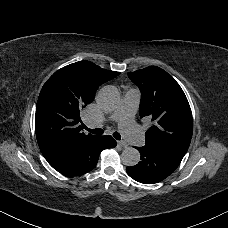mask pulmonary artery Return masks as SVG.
<instances>
[{
    "instance_id": "obj_1",
    "label": "pulmonary artery",
    "mask_w": 228,
    "mask_h": 228,
    "mask_svg": "<svg viewBox=\"0 0 228 228\" xmlns=\"http://www.w3.org/2000/svg\"><path fill=\"white\" fill-rule=\"evenodd\" d=\"M124 97L127 99L115 111L112 113V118L115 121H120V132L124 139H131L138 134V127L132 125L134 120V115L137 111V105L141 98V93L137 89H127L124 92Z\"/></svg>"
}]
</instances>
